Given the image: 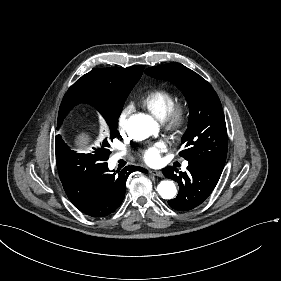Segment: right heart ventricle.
Here are the masks:
<instances>
[{"mask_svg": "<svg viewBox=\"0 0 281 281\" xmlns=\"http://www.w3.org/2000/svg\"><path fill=\"white\" fill-rule=\"evenodd\" d=\"M176 94L166 88L148 91L141 99L142 105L158 119H164L171 107L177 102Z\"/></svg>", "mask_w": 281, "mask_h": 281, "instance_id": "e07e8e85", "label": "right heart ventricle"}]
</instances>
